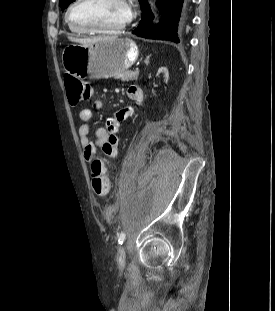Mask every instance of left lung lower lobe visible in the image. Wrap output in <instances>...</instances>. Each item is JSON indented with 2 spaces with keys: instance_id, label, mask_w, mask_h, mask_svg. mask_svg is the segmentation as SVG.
Returning <instances> with one entry per match:
<instances>
[{
  "instance_id": "obj_1",
  "label": "left lung lower lobe",
  "mask_w": 275,
  "mask_h": 311,
  "mask_svg": "<svg viewBox=\"0 0 275 311\" xmlns=\"http://www.w3.org/2000/svg\"><path fill=\"white\" fill-rule=\"evenodd\" d=\"M156 4L163 14L161 22L153 25L154 15L148 1L144 0L141 21L132 33L148 39L179 42L186 22L187 0H161Z\"/></svg>"
}]
</instances>
